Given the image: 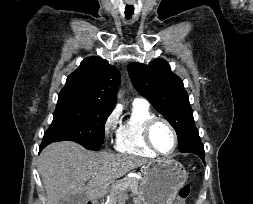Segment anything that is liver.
<instances>
[{
    "label": "liver",
    "instance_id": "liver-1",
    "mask_svg": "<svg viewBox=\"0 0 253 204\" xmlns=\"http://www.w3.org/2000/svg\"><path fill=\"white\" fill-rule=\"evenodd\" d=\"M38 162L47 204H60L76 194H86L95 202L106 195L115 179L148 163L134 155L89 151L71 141L48 145Z\"/></svg>",
    "mask_w": 253,
    "mask_h": 204
}]
</instances>
